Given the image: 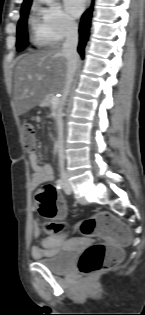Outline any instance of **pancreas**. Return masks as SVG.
Masks as SVG:
<instances>
[{
    "label": "pancreas",
    "mask_w": 145,
    "mask_h": 315,
    "mask_svg": "<svg viewBox=\"0 0 145 315\" xmlns=\"http://www.w3.org/2000/svg\"><path fill=\"white\" fill-rule=\"evenodd\" d=\"M44 104H46V105H51L50 99L45 100V101H44Z\"/></svg>",
    "instance_id": "pancreas-1"
}]
</instances>
